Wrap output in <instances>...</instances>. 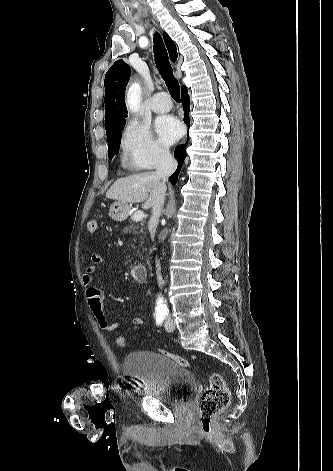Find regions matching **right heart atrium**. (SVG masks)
<instances>
[{
	"mask_svg": "<svg viewBox=\"0 0 333 471\" xmlns=\"http://www.w3.org/2000/svg\"><path fill=\"white\" fill-rule=\"evenodd\" d=\"M120 148L124 165L134 170L154 169L171 158L169 150L154 136L150 127L137 120L125 124Z\"/></svg>",
	"mask_w": 333,
	"mask_h": 471,
	"instance_id": "d8ad5b80",
	"label": "right heart atrium"
}]
</instances>
